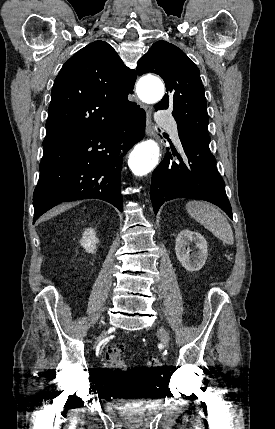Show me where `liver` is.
Wrapping results in <instances>:
<instances>
[{
  "label": "liver",
  "mask_w": 275,
  "mask_h": 429,
  "mask_svg": "<svg viewBox=\"0 0 275 429\" xmlns=\"http://www.w3.org/2000/svg\"><path fill=\"white\" fill-rule=\"evenodd\" d=\"M57 212V210H55V211H53V212H51V213H49V214H47L46 216H44L41 220H45V219H47L48 217H50V216H52L54 213H56Z\"/></svg>",
  "instance_id": "1"
}]
</instances>
